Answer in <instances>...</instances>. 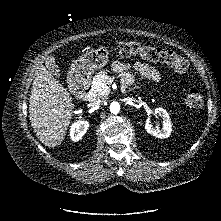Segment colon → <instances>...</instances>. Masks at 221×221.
<instances>
[{
    "label": "colon",
    "instance_id": "1",
    "mask_svg": "<svg viewBox=\"0 0 221 221\" xmlns=\"http://www.w3.org/2000/svg\"><path fill=\"white\" fill-rule=\"evenodd\" d=\"M117 49L121 57L139 54L152 62L168 65L178 74H184L189 67L186 58L163 48L144 46L138 42L129 41L120 43ZM184 103L189 108L201 107L203 103L201 93L197 89L189 90L184 98Z\"/></svg>",
    "mask_w": 221,
    "mask_h": 221
}]
</instances>
